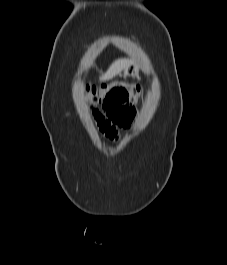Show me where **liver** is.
Here are the masks:
<instances>
[{"label": "liver", "instance_id": "6515ba94", "mask_svg": "<svg viewBox=\"0 0 227 265\" xmlns=\"http://www.w3.org/2000/svg\"><path fill=\"white\" fill-rule=\"evenodd\" d=\"M131 63L132 61L128 59H118L114 61L107 70V72L100 79L101 80L112 79L113 77L124 71Z\"/></svg>", "mask_w": 227, "mask_h": 265}]
</instances>
